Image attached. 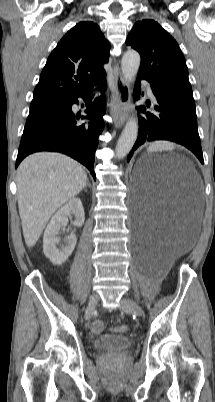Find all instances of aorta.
<instances>
[{"instance_id": "1", "label": "aorta", "mask_w": 215, "mask_h": 402, "mask_svg": "<svg viewBox=\"0 0 215 402\" xmlns=\"http://www.w3.org/2000/svg\"><path fill=\"white\" fill-rule=\"evenodd\" d=\"M140 66V55L134 50L127 51L121 61L123 76L127 82L134 81ZM138 135V121L132 116L128 119L116 145V158L125 157L132 149Z\"/></svg>"}]
</instances>
